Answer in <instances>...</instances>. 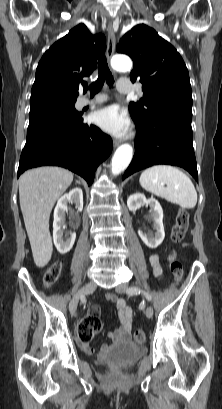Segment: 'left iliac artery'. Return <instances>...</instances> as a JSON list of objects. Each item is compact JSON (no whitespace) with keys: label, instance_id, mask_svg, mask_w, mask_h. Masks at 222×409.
Here are the masks:
<instances>
[{"label":"left iliac artery","instance_id":"obj_1","mask_svg":"<svg viewBox=\"0 0 222 409\" xmlns=\"http://www.w3.org/2000/svg\"><path fill=\"white\" fill-rule=\"evenodd\" d=\"M140 292L144 294V296L146 297L148 301H151V295L148 292L142 291L140 288L135 287V286L128 289V294L130 295L138 294Z\"/></svg>","mask_w":222,"mask_h":409}]
</instances>
